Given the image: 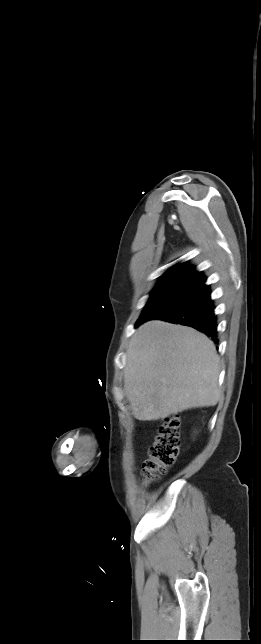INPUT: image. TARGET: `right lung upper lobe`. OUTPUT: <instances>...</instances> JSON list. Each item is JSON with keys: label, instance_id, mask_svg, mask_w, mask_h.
<instances>
[{"label": "right lung upper lobe", "instance_id": "1", "mask_svg": "<svg viewBox=\"0 0 261 644\" xmlns=\"http://www.w3.org/2000/svg\"><path fill=\"white\" fill-rule=\"evenodd\" d=\"M164 281H187L204 285L206 277L202 272H196L193 266L182 263L163 274L160 277V282Z\"/></svg>", "mask_w": 261, "mask_h": 644}]
</instances>
